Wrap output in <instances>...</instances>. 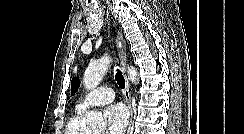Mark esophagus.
Segmentation results:
<instances>
[{"mask_svg": "<svg viewBox=\"0 0 244 134\" xmlns=\"http://www.w3.org/2000/svg\"><path fill=\"white\" fill-rule=\"evenodd\" d=\"M116 47L118 51V56L120 59V66L121 70L125 79V89H124V97L125 101L127 103V107L129 110V123L126 129V134H130V129L132 126V118H133V108L131 104V94H130V84H129V79L126 73V61H127V56H126V43L123 37V34L120 31L116 32Z\"/></svg>", "mask_w": 244, "mask_h": 134, "instance_id": "esophagus-1", "label": "esophagus"}]
</instances>
